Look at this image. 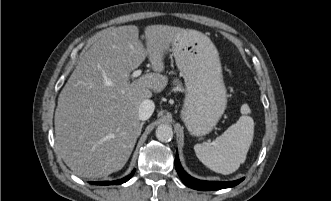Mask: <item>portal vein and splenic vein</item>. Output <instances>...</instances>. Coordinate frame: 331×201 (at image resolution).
I'll return each mask as SVG.
<instances>
[{"label": "portal vein and splenic vein", "instance_id": "obj_1", "mask_svg": "<svg viewBox=\"0 0 331 201\" xmlns=\"http://www.w3.org/2000/svg\"><path fill=\"white\" fill-rule=\"evenodd\" d=\"M141 75V70H136L132 73L131 77L136 78Z\"/></svg>", "mask_w": 331, "mask_h": 201}]
</instances>
